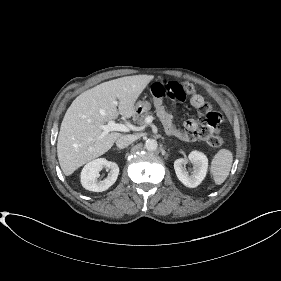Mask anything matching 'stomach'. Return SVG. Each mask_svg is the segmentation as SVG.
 <instances>
[{
    "label": "stomach",
    "mask_w": 281,
    "mask_h": 281,
    "mask_svg": "<svg viewBox=\"0 0 281 281\" xmlns=\"http://www.w3.org/2000/svg\"><path fill=\"white\" fill-rule=\"evenodd\" d=\"M151 104L148 101H138L134 107L136 115H141L150 110Z\"/></svg>",
    "instance_id": "stomach-1"
}]
</instances>
